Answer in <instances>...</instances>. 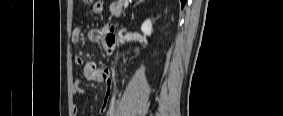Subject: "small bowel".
Here are the masks:
<instances>
[{
	"instance_id": "1",
	"label": "small bowel",
	"mask_w": 283,
	"mask_h": 116,
	"mask_svg": "<svg viewBox=\"0 0 283 116\" xmlns=\"http://www.w3.org/2000/svg\"><path fill=\"white\" fill-rule=\"evenodd\" d=\"M93 9L96 13H100L103 8L102 1H94ZM72 41L78 43L82 41V29L77 27L72 32ZM89 40L93 42L102 43L109 51H112L116 45V39L114 36V29L112 25H105L99 29H91L88 32ZM75 62L78 65L83 66V77L87 81L100 82L106 85L105 95L102 101V105L100 107V115H104L108 108V103L110 101L111 96L114 92V82L111 78L110 72L107 68L100 67L94 61H85L84 57L78 55L75 58ZM81 80L77 79L73 86V94L74 96H82L86 93V90L80 85ZM73 112L75 115L79 113V106L77 104L74 105Z\"/></svg>"
}]
</instances>
